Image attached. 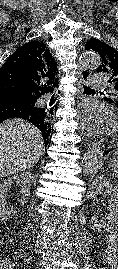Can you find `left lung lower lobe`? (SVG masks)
<instances>
[{
	"mask_svg": "<svg viewBox=\"0 0 118 269\" xmlns=\"http://www.w3.org/2000/svg\"><path fill=\"white\" fill-rule=\"evenodd\" d=\"M109 151H110V150L105 151V152H104V155H105V154H108V153H109Z\"/></svg>",
	"mask_w": 118,
	"mask_h": 269,
	"instance_id": "1",
	"label": "left lung lower lobe"
}]
</instances>
